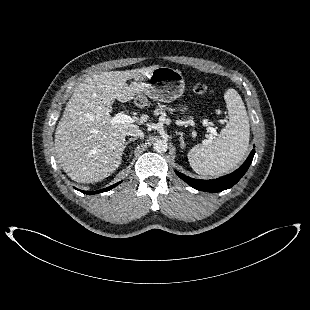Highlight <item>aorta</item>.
I'll list each match as a JSON object with an SVG mask.
<instances>
[{"label": "aorta", "instance_id": "aorta-1", "mask_svg": "<svg viewBox=\"0 0 310 310\" xmlns=\"http://www.w3.org/2000/svg\"><path fill=\"white\" fill-rule=\"evenodd\" d=\"M153 149L156 151V152H159V153H163V152H166L167 149H168V143L166 140H157L155 141V143L153 144Z\"/></svg>", "mask_w": 310, "mask_h": 310}]
</instances>
